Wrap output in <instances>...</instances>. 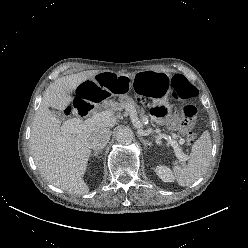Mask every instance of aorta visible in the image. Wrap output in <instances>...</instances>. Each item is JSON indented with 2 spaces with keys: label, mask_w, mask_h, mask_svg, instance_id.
I'll return each mask as SVG.
<instances>
[{
  "label": "aorta",
  "mask_w": 248,
  "mask_h": 248,
  "mask_svg": "<svg viewBox=\"0 0 248 248\" xmlns=\"http://www.w3.org/2000/svg\"><path fill=\"white\" fill-rule=\"evenodd\" d=\"M116 140L120 144H129L133 140V132L130 128L124 127L120 128L116 132Z\"/></svg>",
  "instance_id": "obj_1"
}]
</instances>
